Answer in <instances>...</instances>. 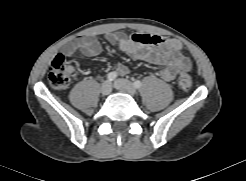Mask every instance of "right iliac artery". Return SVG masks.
Wrapping results in <instances>:
<instances>
[{"mask_svg":"<svg viewBox=\"0 0 246 181\" xmlns=\"http://www.w3.org/2000/svg\"><path fill=\"white\" fill-rule=\"evenodd\" d=\"M116 78H117V74L115 72H110L107 75V80L110 81V82L115 80Z\"/></svg>","mask_w":246,"mask_h":181,"instance_id":"obj_1","label":"right iliac artery"}]
</instances>
